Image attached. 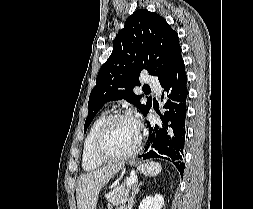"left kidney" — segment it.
<instances>
[{
	"mask_svg": "<svg viewBox=\"0 0 253 209\" xmlns=\"http://www.w3.org/2000/svg\"><path fill=\"white\" fill-rule=\"evenodd\" d=\"M163 206V196L160 194H156L154 197L149 196L144 198L139 205V209H161Z\"/></svg>",
	"mask_w": 253,
	"mask_h": 209,
	"instance_id": "left-kidney-1",
	"label": "left kidney"
}]
</instances>
